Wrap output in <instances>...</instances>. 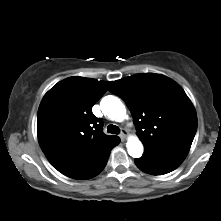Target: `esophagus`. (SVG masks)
Segmentation results:
<instances>
[{"mask_svg": "<svg viewBox=\"0 0 221 221\" xmlns=\"http://www.w3.org/2000/svg\"><path fill=\"white\" fill-rule=\"evenodd\" d=\"M127 136H128V131L126 129H122V131L120 133V138L122 140H125Z\"/></svg>", "mask_w": 221, "mask_h": 221, "instance_id": "34e87169", "label": "esophagus"}]
</instances>
